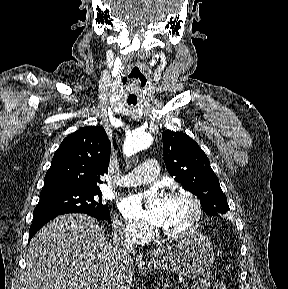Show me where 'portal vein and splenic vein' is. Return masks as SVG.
Segmentation results:
<instances>
[{
    "mask_svg": "<svg viewBox=\"0 0 288 289\" xmlns=\"http://www.w3.org/2000/svg\"><path fill=\"white\" fill-rule=\"evenodd\" d=\"M188 286H189V283H184L183 288L186 289L188 288Z\"/></svg>",
    "mask_w": 288,
    "mask_h": 289,
    "instance_id": "1",
    "label": "portal vein and splenic vein"
}]
</instances>
